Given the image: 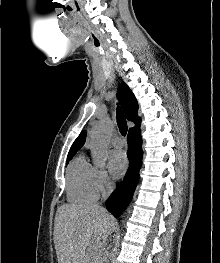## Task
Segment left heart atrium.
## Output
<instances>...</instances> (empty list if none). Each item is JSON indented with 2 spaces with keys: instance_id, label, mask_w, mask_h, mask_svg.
<instances>
[{
  "instance_id": "39dd6f15",
  "label": "left heart atrium",
  "mask_w": 220,
  "mask_h": 263,
  "mask_svg": "<svg viewBox=\"0 0 220 263\" xmlns=\"http://www.w3.org/2000/svg\"><path fill=\"white\" fill-rule=\"evenodd\" d=\"M109 169L114 178L121 177L127 169V158L123 151L113 150L110 152L109 157Z\"/></svg>"
}]
</instances>
